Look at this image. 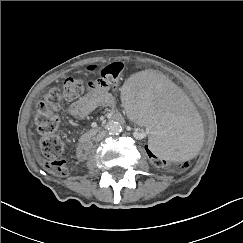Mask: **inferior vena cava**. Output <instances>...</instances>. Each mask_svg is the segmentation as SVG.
Masks as SVG:
<instances>
[{
  "instance_id": "obj_1",
  "label": "inferior vena cava",
  "mask_w": 243,
  "mask_h": 243,
  "mask_svg": "<svg viewBox=\"0 0 243 243\" xmlns=\"http://www.w3.org/2000/svg\"><path fill=\"white\" fill-rule=\"evenodd\" d=\"M106 136V132L105 131H101L99 132L96 137H95V142H99L101 141L104 137Z\"/></svg>"
}]
</instances>
